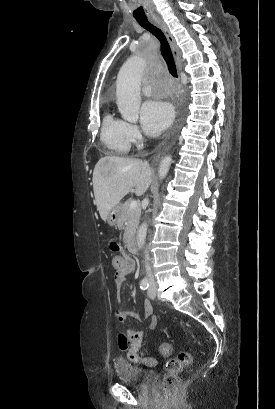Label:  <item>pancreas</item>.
I'll return each mask as SVG.
<instances>
[{
  "label": "pancreas",
  "instance_id": "obj_1",
  "mask_svg": "<svg viewBox=\"0 0 275 409\" xmlns=\"http://www.w3.org/2000/svg\"><path fill=\"white\" fill-rule=\"evenodd\" d=\"M131 202L132 198H128V200L124 202V205H122L120 219L118 221V227H122L123 223H128V225H126L125 233L123 235V243H125L127 247L132 237H134V233H136L141 213L140 205H137L135 209H130Z\"/></svg>",
  "mask_w": 275,
  "mask_h": 409
}]
</instances>
